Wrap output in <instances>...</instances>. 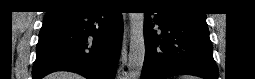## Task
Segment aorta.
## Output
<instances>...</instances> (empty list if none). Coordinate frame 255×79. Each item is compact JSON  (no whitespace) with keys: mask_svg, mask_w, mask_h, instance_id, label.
<instances>
[{"mask_svg":"<svg viewBox=\"0 0 255 79\" xmlns=\"http://www.w3.org/2000/svg\"><path fill=\"white\" fill-rule=\"evenodd\" d=\"M129 79H139L145 57L144 14L130 13Z\"/></svg>","mask_w":255,"mask_h":79,"instance_id":"1","label":"aorta"}]
</instances>
